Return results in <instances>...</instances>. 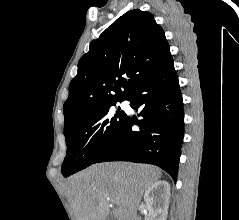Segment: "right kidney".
Here are the masks:
<instances>
[{
	"mask_svg": "<svg viewBox=\"0 0 239 220\" xmlns=\"http://www.w3.org/2000/svg\"><path fill=\"white\" fill-rule=\"evenodd\" d=\"M170 184L167 181L153 183L144 194V201L151 220H166L169 208Z\"/></svg>",
	"mask_w": 239,
	"mask_h": 220,
	"instance_id": "obj_1",
	"label": "right kidney"
}]
</instances>
